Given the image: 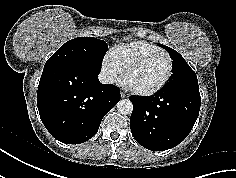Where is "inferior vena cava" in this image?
I'll use <instances>...</instances> for the list:
<instances>
[{
    "label": "inferior vena cava",
    "instance_id": "1",
    "mask_svg": "<svg viewBox=\"0 0 236 178\" xmlns=\"http://www.w3.org/2000/svg\"><path fill=\"white\" fill-rule=\"evenodd\" d=\"M99 81L103 84H113L114 78L110 72L104 71L99 74Z\"/></svg>",
    "mask_w": 236,
    "mask_h": 178
}]
</instances>
